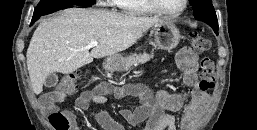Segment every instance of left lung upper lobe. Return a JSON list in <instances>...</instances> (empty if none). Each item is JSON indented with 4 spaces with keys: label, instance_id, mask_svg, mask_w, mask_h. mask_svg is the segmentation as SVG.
Wrapping results in <instances>:
<instances>
[{
    "label": "left lung upper lobe",
    "instance_id": "obj_1",
    "mask_svg": "<svg viewBox=\"0 0 257 130\" xmlns=\"http://www.w3.org/2000/svg\"><path fill=\"white\" fill-rule=\"evenodd\" d=\"M194 17L207 22L213 29H218L217 16L211 0H190Z\"/></svg>",
    "mask_w": 257,
    "mask_h": 130
}]
</instances>
